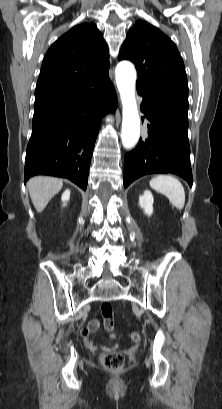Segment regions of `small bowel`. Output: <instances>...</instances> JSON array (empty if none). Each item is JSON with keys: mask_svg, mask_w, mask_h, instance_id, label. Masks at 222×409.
Wrapping results in <instances>:
<instances>
[{"mask_svg": "<svg viewBox=\"0 0 222 409\" xmlns=\"http://www.w3.org/2000/svg\"><path fill=\"white\" fill-rule=\"evenodd\" d=\"M99 329V322L95 319H92L89 321L88 326L86 328L87 334L90 332H96ZM112 339V345L111 348H116L117 347V343L115 342V336L112 335L111 337ZM87 346L90 349H97L98 345H96L93 341H88L87 342Z\"/></svg>", "mask_w": 222, "mask_h": 409, "instance_id": "c3829d8e", "label": "small bowel"}]
</instances>
